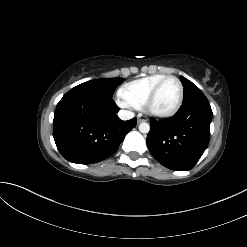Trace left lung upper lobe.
<instances>
[{
  "label": "left lung upper lobe",
  "mask_w": 247,
  "mask_h": 247,
  "mask_svg": "<svg viewBox=\"0 0 247 247\" xmlns=\"http://www.w3.org/2000/svg\"><path fill=\"white\" fill-rule=\"evenodd\" d=\"M180 79H181L182 85L184 86L183 103H186L195 97L204 96L202 91L191 81H189L183 76H180Z\"/></svg>",
  "instance_id": "left-lung-upper-lobe-1"
}]
</instances>
